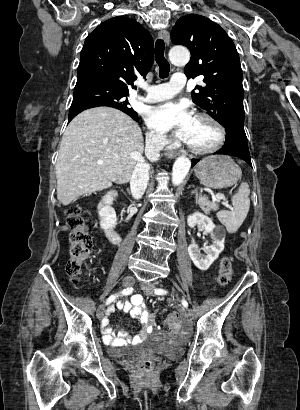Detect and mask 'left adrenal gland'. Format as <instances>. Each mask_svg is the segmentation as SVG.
Listing matches in <instances>:
<instances>
[{"instance_id":"a2214340","label":"left adrenal gland","mask_w":300,"mask_h":410,"mask_svg":"<svg viewBox=\"0 0 300 410\" xmlns=\"http://www.w3.org/2000/svg\"><path fill=\"white\" fill-rule=\"evenodd\" d=\"M191 194H194L195 195V200H196V203H198V200H199V193H198V189L196 188V189H194L192 192H191Z\"/></svg>"}]
</instances>
